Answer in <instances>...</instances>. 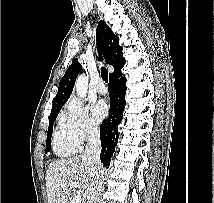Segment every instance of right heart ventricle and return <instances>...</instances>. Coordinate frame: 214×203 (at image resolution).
<instances>
[{
  "label": "right heart ventricle",
  "mask_w": 214,
  "mask_h": 203,
  "mask_svg": "<svg viewBox=\"0 0 214 203\" xmlns=\"http://www.w3.org/2000/svg\"><path fill=\"white\" fill-rule=\"evenodd\" d=\"M53 149L56 155L66 157L77 153L80 146L69 136L68 132L59 124L53 133Z\"/></svg>",
  "instance_id": "obj_1"
}]
</instances>
